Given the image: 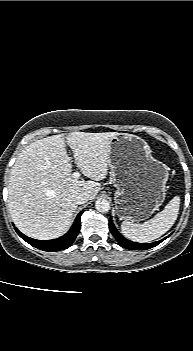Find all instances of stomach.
<instances>
[{"label":"stomach","mask_w":193,"mask_h":351,"mask_svg":"<svg viewBox=\"0 0 193 351\" xmlns=\"http://www.w3.org/2000/svg\"><path fill=\"white\" fill-rule=\"evenodd\" d=\"M109 167L116 187L114 200L120 219L141 222L162 205L168 168L152 156L144 139L128 133L112 138Z\"/></svg>","instance_id":"1"}]
</instances>
